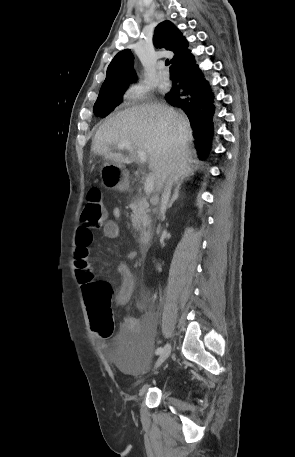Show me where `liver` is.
<instances>
[{
	"label": "liver",
	"instance_id": "6515ba94",
	"mask_svg": "<svg viewBox=\"0 0 295 457\" xmlns=\"http://www.w3.org/2000/svg\"><path fill=\"white\" fill-rule=\"evenodd\" d=\"M192 131L189 121L172 107L159 103L143 104L121 111L98 129L92 151L107 160L131 164L133 155L124 156L111 146L128 141L146 153L148 167L160 190L173 172L178 178H188L198 169L196 152L190 147Z\"/></svg>",
	"mask_w": 295,
	"mask_h": 457
}]
</instances>
